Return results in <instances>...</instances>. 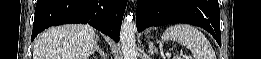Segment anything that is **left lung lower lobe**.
I'll return each instance as SVG.
<instances>
[{"mask_svg": "<svg viewBox=\"0 0 261 59\" xmlns=\"http://www.w3.org/2000/svg\"><path fill=\"white\" fill-rule=\"evenodd\" d=\"M189 23L207 30L221 45L217 0H137L138 32L150 26Z\"/></svg>", "mask_w": 261, "mask_h": 59, "instance_id": "0a47b994", "label": "left lung lower lobe"}]
</instances>
